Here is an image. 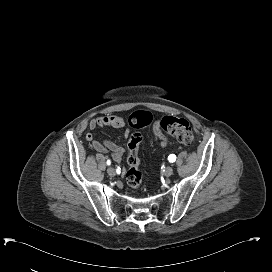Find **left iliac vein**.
Returning a JSON list of instances; mask_svg holds the SVG:
<instances>
[{"mask_svg":"<svg viewBox=\"0 0 272 272\" xmlns=\"http://www.w3.org/2000/svg\"><path fill=\"white\" fill-rule=\"evenodd\" d=\"M172 174H173V167H171V166L166 167V169L164 170V175L166 177H169Z\"/></svg>","mask_w":272,"mask_h":272,"instance_id":"left-iliac-vein-1","label":"left iliac vein"}]
</instances>
